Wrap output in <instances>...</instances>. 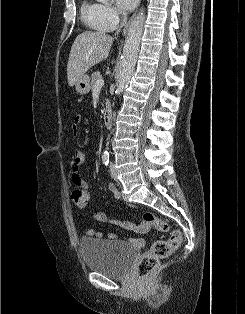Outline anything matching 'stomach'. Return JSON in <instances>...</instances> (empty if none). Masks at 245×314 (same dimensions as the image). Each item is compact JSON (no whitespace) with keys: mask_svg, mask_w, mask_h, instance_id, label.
I'll use <instances>...</instances> for the list:
<instances>
[{"mask_svg":"<svg viewBox=\"0 0 245 314\" xmlns=\"http://www.w3.org/2000/svg\"><path fill=\"white\" fill-rule=\"evenodd\" d=\"M75 88L78 94L85 95L90 91L89 76L84 74L75 83Z\"/></svg>","mask_w":245,"mask_h":314,"instance_id":"0dacf381","label":"stomach"}]
</instances>
